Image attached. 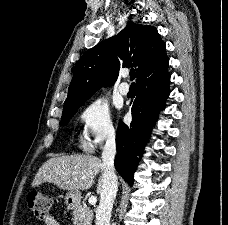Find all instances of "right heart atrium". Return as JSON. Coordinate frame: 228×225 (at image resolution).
Returning a JSON list of instances; mask_svg holds the SVG:
<instances>
[{"instance_id":"obj_1","label":"right heart atrium","mask_w":228,"mask_h":225,"mask_svg":"<svg viewBox=\"0 0 228 225\" xmlns=\"http://www.w3.org/2000/svg\"><path fill=\"white\" fill-rule=\"evenodd\" d=\"M82 142L90 147H99L115 138L116 132L108 107L101 101H93L79 112Z\"/></svg>"}]
</instances>
